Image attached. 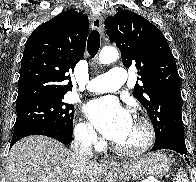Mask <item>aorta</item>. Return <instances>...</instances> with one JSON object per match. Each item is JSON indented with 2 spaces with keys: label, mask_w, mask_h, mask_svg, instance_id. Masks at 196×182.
<instances>
[{
  "label": "aorta",
  "mask_w": 196,
  "mask_h": 182,
  "mask_svg": "<svg viewBox=\"0 0 196 182\" xmlns=\"http://www.w3.org/2000/svg\"><path fill=\"white\" fill-rule=\"evenodd\" d=\"M119 57V53L115 48L105 47L99 54V62L101 64H110L116 61Z\"/></svg>",
  "instance_id": "obj_1"
}]
</instances>
